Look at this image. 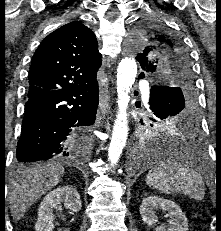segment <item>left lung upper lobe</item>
<instances>
[{"label":"left lung upper lobe","instance_id":"1","mask_svg":"<svg viewBox=\"0 0 221 231\" xmlns=\"http://www.w3.org/2000/svg\"><path fill=\"white\" fill-rule=\"evenodd\" d=\"M138 45L136 60L159 86L171 93L164 100L150 105L153 121L175 116L185 105L195 103V85L191 59L183 43L159 25H146L135 34ZM145 75L141 73L139 77ZM165 84V85H161ZM170 97V100H168Z\"/></svg>","mask_w":221,"mask_h":231}]
</instances>
